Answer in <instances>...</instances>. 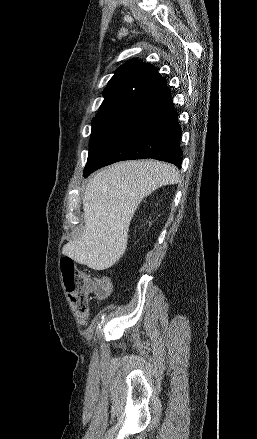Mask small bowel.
Listing matches in <instances>:
<instances>
[{
    "label": "small bowel",
    "instance_id": "small-bowel-1",
    "mask_svg": "<svg viewBox=\"0 0 257 439\" xmlns=\"http://www.w3.org/2000/svg\"><path fill=\"white\" fill-rule=\"evenodd\" d=\"M86 322H87L86 319H84V318H81V319H80V323H81V324H86Z\"/></svg>",
    "mask_w": 257,
    "mask_h": 439
}]
</instances>
